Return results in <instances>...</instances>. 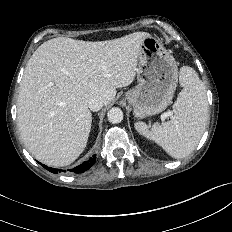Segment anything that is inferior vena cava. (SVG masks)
Masks as SVG:
<instances>
[{
  "label": "inferior vena cava",
  "instance_id": "obj_1",
  "mask_svg": "<svg viewBox=\"0 0 232 232\" xmlns=\"http://www.w3.org/2000/svg\"><path fill=\"white\" fill-rule=\"evenodd\" d=\"M103 105V100L100 96H93L88 100V107L91 111H99Z\"/></svg>",
  "mask_w": 232,
  "mask_h": 232
}]
</instances>
